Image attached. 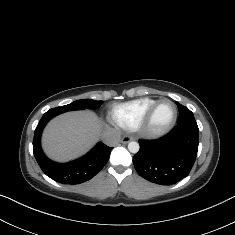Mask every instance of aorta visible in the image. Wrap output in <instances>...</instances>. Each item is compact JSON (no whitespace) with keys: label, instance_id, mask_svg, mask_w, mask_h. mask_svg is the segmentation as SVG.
I'll use <instances>...</instances> for the list:
<instances>
[{"label":"aorta","instance_id":"aorta-1","mask_svg":"<svg viewBox=\"0 0 235 235\" xmlns=\"http://www.w3.org/2000/svg\"><path fill=\"white\" fill-rule=\"evenodd\" d=\"M128 150L129 152L136 154L140 150V145L137 142L131 141L128 143Z\"/></svg>","mask_w":235,"mask_h":235}]
</instances>
